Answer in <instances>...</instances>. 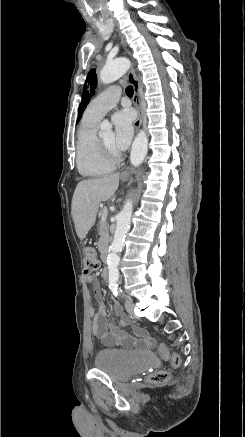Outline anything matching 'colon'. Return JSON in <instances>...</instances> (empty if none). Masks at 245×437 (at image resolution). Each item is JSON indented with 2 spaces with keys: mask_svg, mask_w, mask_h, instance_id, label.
<instances>
[{
  "mask_svg": "<svg viewBox=\"0 0 245 437\" xmlns=\"http://www.w3.org/2000/svg\"><path fill=\"white\" fill-rule=\"evenodd\" d=\"M99 261L97 259L94 249L87 248L84 253V271L87 274H93L99 269ZM157 352L164 360L171 359V363L174 367H178L181 363L180 357L176 353H170L169 349L161 344L157 348ZM170 378V374L167 371H158L150 376V381L153 383H163Z\"/></svg>",
  "mask_w": 245,
  "mask_h": 437,
  "instance_id": "5ec220e1",
  "label": "colon"
}]
</instances>
